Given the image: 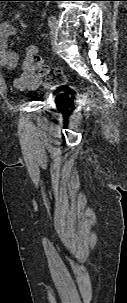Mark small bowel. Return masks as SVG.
I'll return each instance as SVG.
<instances>
[{
  "instance_id": "obj_1",
  "label": "small bowel",
  "mask_w": 127,
  "mask_h": 303,
  "mask_svg": "<svg viewBox=\"0 0 127 303\" xmlns=\"http://www.w3.org/2000/svg\"><path fill=\"white\" fill-rule=\"evenodd\" d=\"M16 34V28L8 21L0 23V65L7 69H14L18 65L19 56L9 49V39ZM37 51L35 46L28 49V55L23 61L19 78L14 82L21 90L35 89L41 84V78L31 66L30 55Z\"/></svg>"
}]
</instances>
